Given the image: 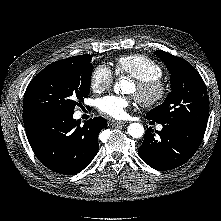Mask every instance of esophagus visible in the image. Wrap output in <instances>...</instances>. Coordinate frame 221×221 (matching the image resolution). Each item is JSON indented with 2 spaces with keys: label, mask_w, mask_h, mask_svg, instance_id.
<instances>
[{
  "label": "esophagus",
  "mask_w": 221,
  "mask_h": 221,
  "mask_svg": "<svg viewBox=\"0 0 221 221\" xmlns=\"http://www.w3.org/2000/svg\"><path fill=\"white\" fill-rule=\"evenodd\" d=\"M109 123H110L111 125L118 126V125H124L126 122H124V121L110 120Z\"/></svg>",
  "instance_id": "34e87169"
}]
</instances>
